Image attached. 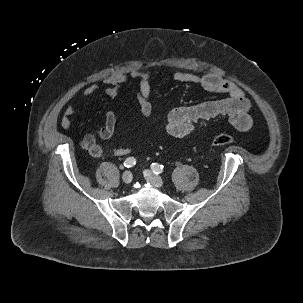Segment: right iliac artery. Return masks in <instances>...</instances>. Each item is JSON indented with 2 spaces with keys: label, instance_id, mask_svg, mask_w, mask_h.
<instances>
[{
  "label": "right iliac artery",
  "instance_id": "obj_1",
  "mask_svg": "<svg viewBox=\"0 0 303 303\" xmlns=\"http://www.w3.org/2000/svg\"><path fill=\"white\" fill-rule=\"evenodd\" d=\"M135 164H136V159L134 157H129L124 162V166L127 168L133 167Z\"/></svg>",
  "mask_w": 303,
  "mask_h": 303
}]
</instances>
